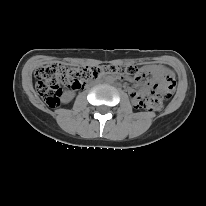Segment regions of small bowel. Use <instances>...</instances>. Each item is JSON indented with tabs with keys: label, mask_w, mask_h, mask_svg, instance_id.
Listing matches in <instances>:
<instances>
[{
	"label": "small bowel",
	"mask_w": 206,
	"mask_h": 206,
	"mask_svg": "<svg viewBox=\"0 0 206 206\" xmlns=\"http://www.w3.org/2000/svg\"><path fill=\"white\" fill-rule=\"evenodd\" d=\"M149 72L152 74L154 80L158 82H162L166 77L173 75L172 72L168 68L163 67V66H158V65L150 66ZM129 92L133 99L139 95V92L136 91L135 89H130Z\"/></svg>",
	"instance_id": "1"
}]
</instances>
